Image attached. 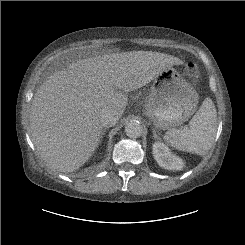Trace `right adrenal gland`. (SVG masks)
Listing matches in <instances>:
<instances>
[{
  "label": "right adrenal gland",
  "instance_id": "1",
  "mask_svg": "<svg viewBox=\"0 0 245 245\" xmlns=\"http://www.w3.org/2000/svg\"><path fill=\"white\" fill-rule=\"evenodd\" d=\"M104 132H105V130H103L101 138L103 137V135H104Z\"/></svg>",
  "mask_w": 245,
  "mask_h": 245
}]
</instances>
